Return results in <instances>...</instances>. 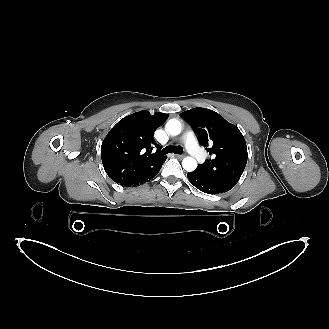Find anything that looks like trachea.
Masks as SVG:
<instances>
[{"label":"trachea","mask_w":329,"mask_h":329,"mask_svg":"<svg viewBox=\"0 0 329 329\" xmlns=\"http://www.w3.org/2000/svg\"><path fill=\"white\" fill-rule=\"evenodd\" d=\"M182 152H183V149L179 146H177V147L167 146L162 150V155H166L168 153L181 154Z\"/></svg>","instance_id":"1"}]
</instances>
